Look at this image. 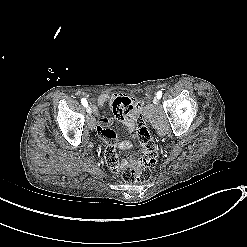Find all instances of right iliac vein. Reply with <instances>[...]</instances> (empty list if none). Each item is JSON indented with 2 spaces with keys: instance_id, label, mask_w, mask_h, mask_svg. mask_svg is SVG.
<instances>
[{
  "instance_id": "right-iliac-vein-1",
  "label": "right iliac vein",
  "mask_w": 247,
  "mask_h": 247,
  "mask_svg": "<svg viewBox=\"0 0 247 247\" xmlns=\"http://www.w3.org/2000/svg\"><path fill=\"white\" fill-rule=\"evenodd\" d=\"M86 111L88 114H91L92 113V108L90 106H87L86 107Z\"/></svg>"
}]
</instances>
